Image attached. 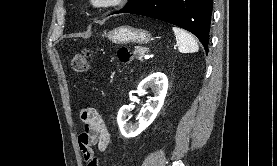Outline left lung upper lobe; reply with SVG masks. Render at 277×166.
Wrapping results in <instances>:
<instances>
[{"label": "left lung upper lobe", "instance_id": "left-lung-upper-lobe-1", "mask_svg": "<svg viewBox=\"0 0 277 166\" xmlns=\"http://www.w3.org/2000/svg\"><path fill=\"white\" fill-rule=\"evenodd\" d=\"M144 0H130L128 2V4L125 6V8L121 11H119V13L121 12H126V11H129L130 9L138 6L139 4H141Z\"/></svg>", "mask_w": 277, "mask_h": 166}]
</instances>
